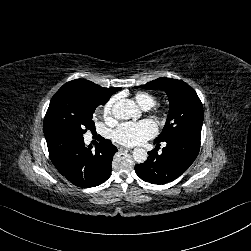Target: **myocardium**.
I'll return each instance as SVG.
<instances>
[{"label": "myocardium", "mask_w": 251, "mask_h": 251, "mask_svg": "<svg viewBox=\"0 0 251 251\" xmlns=\"http://www.w3.org/2000/svg\"><path fill=\"white\" fill-rule=\"evenodd\" d=\"M156 115L163 120H166L169 117V113L166 109L158 110Z\"/></svg>", "instance_id": "myocardium-1"}]
</instances>
